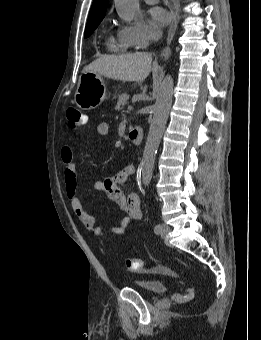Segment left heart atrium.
<instances>
[{"label": "left heart atrium", "mask_w": 261, "mask_h": 340, "mask_svg": "<svg viewBox=\"0 0 261 340\" xmlns=\"http://www.w3.org/2000/svg\"><path fill=\"white\" fill-rule=\"evenodd\" d=\"M150 14H151V23L156 28L164 26L169 20L168 14L160 8L152 9Z\"/></svg>", "instance_id": "left-heart-atrium-1"}]
</instances>
